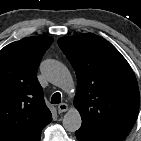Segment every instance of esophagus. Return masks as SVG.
Wrapping results in <instances>:
<instances>
[{
	"label": "esophagus",
	"mask_w": 141,
	"mask_h": 141,
	"mask_svg": "<svg viewBox=\"0 0 141 141\" xmlns=\"http://www.w3.org/2000/svg\"><path fill=\"white\" fill-rule=\"evenodd\" d=\"M68 110V105L66 103H61L58 105V112L63 113Z\"/></svg>",
	"instance_id": "obj_1"
}]
</instances>
